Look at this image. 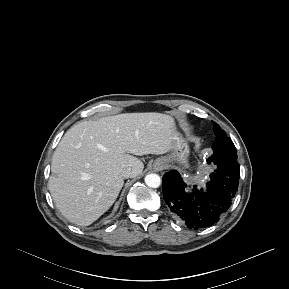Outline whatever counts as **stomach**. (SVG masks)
<instances>
[{"instance_id":"stomach-1","label":"stomach","mask_w":289,"mask_h":289,"mask_svg":"<svg viewBox=\"0 0 289 289\" xmlns=\"http://www.w3.org/2000/svg\"><path fill=\"white\" fill-rule=\"evenodd\" d=\"M169 152L167 156L158 158L154 165L156 166L157 162L162 160L167 166L178 165L182 168L189 167V146L179 133L177 140Z\"/></svg>"}]
</instances>
